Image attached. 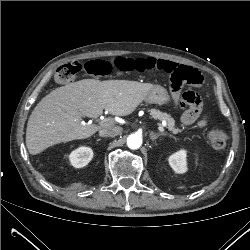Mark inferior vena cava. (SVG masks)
I'll return each instance as SVG.
<instances>
[{"label": "inferior vena cava", "mask_w": 250, "mask_h": 250, "mask_svg": "<svg viewBox=\"0 0 250 250\" xmlns=\"http://www.w3.org/2000/svg\"><path fill=\"white\" fill-rule=\"evenodd\" d=\"M121 133L119 127H105L99 131V135L102 137H114Z\"/></svg>", "instance_id": "inferior-vena-cava-1"}]
</instances>
